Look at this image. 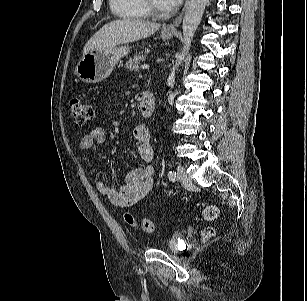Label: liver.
Masks as SVG:
<instances>
[{
  "label": "liver",
  "instance_id": "liver-1",
  "mask_svg": "<svg viewBox=\"0 0 307 301\" xmlns=\"http://www.w3.org/2000/svg\"><path fill=\"white\" fill-rule=\"evenodd\" d=\"M160 24L140 19L115 20L105 24L83 48V55L92 50H105L135 42L154 34Z\"/></svg>",
  "mask_w": 307,
  "mask_h": 301
}]
</instances>
